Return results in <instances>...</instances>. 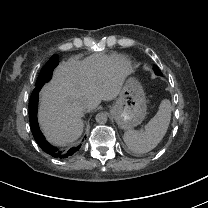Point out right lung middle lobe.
Segmentation results:
<instances>
[{
    "instance_id": "right-lung-middle-lobe-1",
    "label": "right lung middle lobe",
    "mask_w": 208,
    "mask_h": 208,
    "mask_svg": "<svg viewBox=\"0 0 208 208\" xmlns=\"http://www.w3.org/2000/svg\"><path fill=\"white\" fill-rule=\"evenodd\" d=\"M53 56H55L56 57V55H53ZM52 56V57H53ZM44 78V76H42L41 75V72H40V74H39V77H38V79H37V82H36V88L39 86V84L43 81L42 79ZM44 82V81H43Z\"/></svg>"
}]
</instances>
